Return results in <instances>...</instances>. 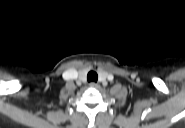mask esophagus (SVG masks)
Returning <instances> with one entry per match:
<instances>
[{
  "instance_id": "34e87169",
  "label": "esophagus",
  "mask_w": 185,
  "mask_h": 128,
  "mask_svg": "<svg viewBox=\"0 0 185 128\" xmlns=\"http://www.w3.org/2000/svg\"><path fill=\"white\" fill-rule=\"evenodd\" d=\"M89 86H90L91 88H98V87H99V84H97V83H95V82H91V83L89 84Z\"/></svg>"
}]
</instances>
